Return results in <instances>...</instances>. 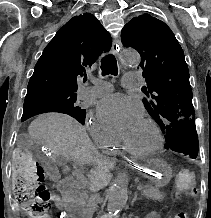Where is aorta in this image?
<instances>
[{
    "label": "aorta",
    "mask_w": 211,
    "mask_h": 218,
    "mask_svg": "<svg viewBox=\"0 0 211 218\" xmlns=\"http://www.w3.org/2000/svg\"><path fill=\"white\" fill-rule=\"evenodd\" d=\"M123 62L137 66L140 63V55L135 50H125L122 54ZM128 179L126 174H119L110 190L108 198V211L111 214H116L122 210L128 199Z\"/></svg>",
    "instance_id": "obj_1"
}]
</instances>
